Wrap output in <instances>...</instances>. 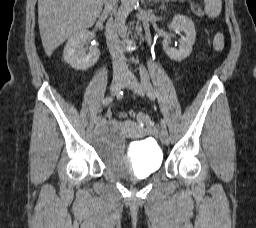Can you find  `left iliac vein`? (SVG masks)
<instances>
[{"mask_svg": "<svg viewBox=\"0 0 256 228\" xmlns=\"http://www.w3.org/2000/svg\"><path fill=\"white\" fill-rule=\"evenodd\" d=\"M125 87H128L129 89L133 90L136 94L143 96L144 95V89L142 85L139 83L137 78L132 74L128 73L125 78ZM160 140L164 145H169L170 143V137L166 129H162L160 131Z\"/></svg>", "mask_w": 256, "mask_h": 228, "instance_id": "obj_1", "label": "left iliac vein"}]
</instances>
